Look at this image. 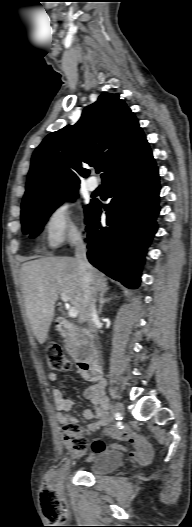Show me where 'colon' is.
Instances as JSON below:
<instances>
[{
	"label": "colon",
	"mask_w": 192,
	"mask_h": 527,
	"mask_svg": "<svg viewBox=\"0 0 192 527\" xmlns=\"http://www.w3.org/2000/svg\"><path fill=\"white\" fill-rule=\"evenodd\" d=\"M47 363L48 367L54 371H66L71 367L70 360L59 346H51L47 350ZM62 442L67 451L74 457L83 456L89 447L87 437L76 422H70L64 425ZM49 485L50 482L47 480L45 482L46 488L44 489L42 497L43 505L46 510L57 504L56 496L50 489Z\"/></svg>",
	"instance_id": "colon-1"
}]
</instances>
